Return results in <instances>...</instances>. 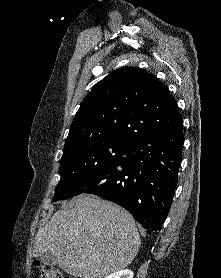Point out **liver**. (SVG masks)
I'll use <instances>...</instances> for the list:
<instances>
[{
    "label": "liver",
    "mask_w": 221,
    "mask_h": 278,
    "mask_svg": "<svg viewBox=\"0 0 221 278\" xmlns=\"http://www.w3.org/2000/svg\"><path fill=\"white\" fill-rule=\"evenodd\" d=\"M141 244L132 215L93 195L73 198L35 237V257L51 253L67 274L102 278L127 267Z\"/></svg>",
    "instance_id": "obj_1"
}]
</instances>
